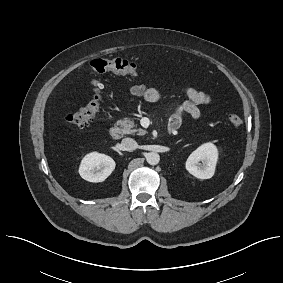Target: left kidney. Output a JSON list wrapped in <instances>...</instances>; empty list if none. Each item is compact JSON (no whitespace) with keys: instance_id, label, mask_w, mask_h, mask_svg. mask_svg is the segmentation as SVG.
<instances>
[{"instance_id":"5707ae66","label":"left kidney","mask_w":283,"mask_h":283,"mask_svg":"<svg viewBox=\"0 0 283 283\" xmlns=\"http://www.w3.org/2000/svg\"><path fill=\"white\" fill-rule=\"evenodd\" d=\"M218 150L212 143H205L193 151L186 161V169L199 179H209L215 173Z\"/></svg>"}]
</instances>
